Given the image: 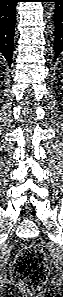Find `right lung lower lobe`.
I'll use <instances>...</instances> for the list:
<instances>
[{
  "label": "right lung lower lobe",
  "instance_id": "98d812e1",
  "mask_svg": "<svg viewBox=\"0 0 63 297\" xmlns=\"http://www.w3.org/2000/svg\"><path fill=\"white\" fill-rule=\"evenodd\" d=\"M17 2L18 0H0V53L6 58L9 66L12 63Z\"/></svg>",
  "mask_w": 63,
  "mask_h": 297
}]
</instances>
